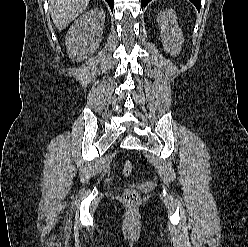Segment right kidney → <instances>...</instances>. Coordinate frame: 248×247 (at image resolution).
<instances>
[{
    "instance_id": "1",
    "label": "right kidney",
    "mask_w": 248,
    "mask_h": 247,
    "mask_svg": "<svg viewBox=\"0 0 248 247\" xmlns=\"http://www.w3.org/2000/svg\"><path fill=\"white\" fill-rule=\"evenodd\" d=\"M105 12L94 8L77 18L66 35L69 57L77 62L87 59L99 47L103 33Z\"/></svg>"
}]
</instances>
